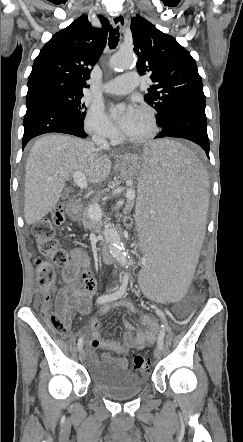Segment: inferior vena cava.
<instances>
[{
    "mask_svg": "<svg viewBox=\"0 0 243 442\" xmlns=\"http://www.w3.org/2000/svg\"><path fill=\"white\" fill-rule=\"evenodd\" d=\"M92 141L97 145L99 150L109 149V144L107 139L100 133L94 134L92 136Z\"/></svg>",
    "mask_w": 243,
    "mask_h": 442,
    "instance_id": "602c4592",
    "label": "inferior vena cava"
}]
</instances>
